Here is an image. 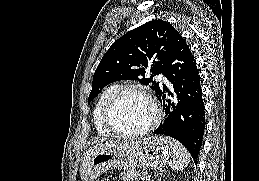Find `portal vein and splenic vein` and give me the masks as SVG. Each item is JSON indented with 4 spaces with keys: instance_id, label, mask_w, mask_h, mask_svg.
<instances>
[{
    "instance_id": "obj_1",
    "label": "portal vein and splenic vein",
    "mask_w": 259,
    "mask_h": 181,
    "mask_svg": "<svg viewBox=\"0 0 259 181\" xmlns=\"http://www.w3.org/2000/svg\"><path fill=\"white\" fill-rule=\"evenodd\" d=\"M139 177H140L141 180H144V179H145V174H144V173H141V174L139 175Z\"/></svg>"
}]
</instances>
